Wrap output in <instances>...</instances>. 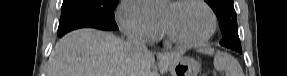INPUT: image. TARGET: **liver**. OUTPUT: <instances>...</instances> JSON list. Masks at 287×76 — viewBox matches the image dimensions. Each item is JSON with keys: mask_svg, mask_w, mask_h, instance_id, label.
Returning <instances> with one entry per match:
<instances>
[{"mask_svg": "<svg viewBox=\"0 0 287 76\" xmlns=\"http://www.w3.org/2000/svg\"><path fill=\"white\" fill-rule=\"evenodd\" d=\"M161 74L182 53H157ZM153 53H134L129 44L112 33L78 29L66 34L55 45L47 76H152Z\"/></svg>", "mask_w": 287, "mask_h": 76, "instance_id": "6515ba94", "label": "liver"}]
</instances>
